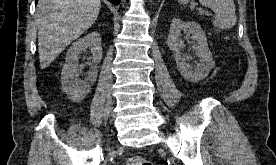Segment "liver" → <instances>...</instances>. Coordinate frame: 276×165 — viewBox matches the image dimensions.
<instances>
[{
    "instance_id": "obj_1",
    "label": "liver",
    "mask_w": 276,
    "mask_h": 165,
    "mask_svg": "<svg viewBox=\"0 0 276 165\" xmlns=\"http://www.w3.org/2000/svg\"><path fill=\"white\" fill-rule=\"evenodd\" d=\"M100 0H39L36 10L41 69L97 19Z\"/></svg>"
}]
</instances>
